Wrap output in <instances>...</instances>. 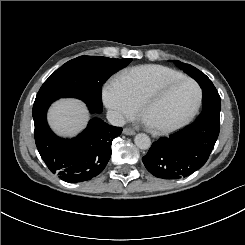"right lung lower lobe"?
<instances>
[{
  "mask_svg": "<svg viewBox=\"0 0 245 245\" xmlns=\"http://www.w3.org/2000/svg\"><path fill=\"white\" fill-rule=\"evenodd\" d=\"M55 100L33 105L37 149L49 170L60 179L69 183L90 180L105 168L111 156L112 140L121 134L122 128L93 118L76 138L61 139L51 131L46 120L47 109Z\"/></svg>",
  "mask_w": 245,
  "mask_h": 245,
  "instance_id": "right-lung-lower-lobe-1",
  "label": "right lung lower lobe"
}]
</instances>
